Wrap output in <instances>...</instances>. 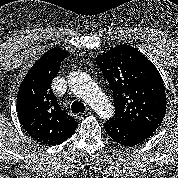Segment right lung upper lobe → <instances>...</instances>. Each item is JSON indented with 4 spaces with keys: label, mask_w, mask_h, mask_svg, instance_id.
<instances>
[{
    "label": "right lung upper lobe",
    "mask_w": 178,
    "mask_h": 178,
    "mask_svg": "<svg viewBox=\"0 0 178 178\" xmlns=\"http://www.w3.org/2000/svg\"><path fill=\"white\" fill-rule=\"evenodd\" d=\"M68 52L51 49L30 68L17 95V112L25 131L44 145H59L75 132L77 120L61 109L51 82Z\"/></svg>",
    "instance_id": "1"
}]
</instances>
